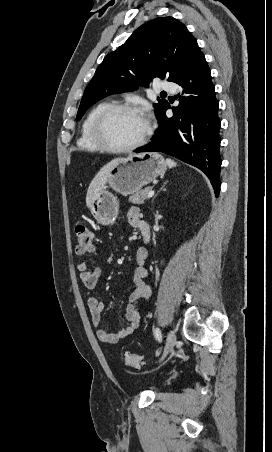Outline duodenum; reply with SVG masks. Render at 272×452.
<instances>
[{
	"instance_id": "duodenum-1",
	"label": "duodenum",
	"mask_w": 272,
	"mask_h": 452,
	"mask_svg": "<svg viewBox=\"0 0 272 452\" xmlns=\"http://www.w3.org/2000/svg\"><path fill=\"white\" fill-rule=\"evenodd\" d=\"M137 228L140 230L142 234L143 241L145 243H149L150 241V228L149 224L145 219H140L137 222Z\"/></svg>"
}]
</instances>
